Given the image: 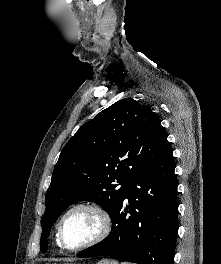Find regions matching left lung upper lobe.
<instances>
[{"label": "left lung upper lobe", "instance_id": "obj_1", "mask_svg": "<svg viewBox=\"0 0 221 264\" xmlns=\"http://www.w3.org/2000/svg\"><path fill=\"white\" fill-rule=\"evenodd\" d=\"M166 141L154 112L132 98L81 126L54 167L41 218V251L47 250L52 225L72 203L93 201L111 216L129 183L156 159Z\"/></svg>", "mask_w": 221, "mask_h": 264}]
</instances>
